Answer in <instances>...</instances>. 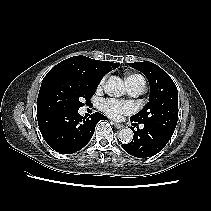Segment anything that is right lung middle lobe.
I'll return each instance as SVG.
<instances>
[{"mask_svg":"<svg viewBox=\"0 0 211 211\" xmlns=\"http://www.w3.org/2000/svg\"><path fill=\"white\" fill-rule=\"evenodd\" d=\"M97 85L70 73L48 72L40 87L37 113L56 109L78 110L84 106L83 100L90 102Z\"/></svg>","mask_w":211,"mask_h":211,"instance_id":"right-lung-middle-lobe-1","label":"right lung middle lobe"}]
</instances>
